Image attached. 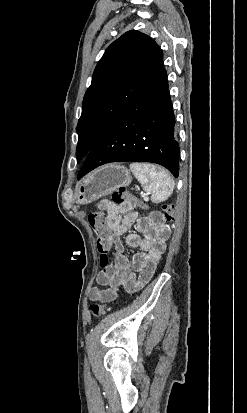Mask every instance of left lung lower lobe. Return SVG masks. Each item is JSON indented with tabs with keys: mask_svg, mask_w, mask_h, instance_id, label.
I'll list each match as a JSON object with an SVG mask.
<instances>
[{
	"mask_svg": "<svg viewBox=\"0 0 247 413\" xmlns=\"http://www.w3.org/2000/svg\"><path fill=\"white\" fill-rule=\"evenodd\" d=\"M163 67L86 155L78 179L110 162L157 163L178 177L179 143Z\"/></svg>",
	"mask_w": 247,
	"mask_h": 413,
	"instance_id": "left-lung-lower-lobe-1",
	"label": "left lung lower lobe"
}]
</instances>
